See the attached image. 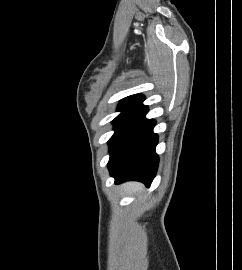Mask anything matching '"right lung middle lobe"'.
Here are the masks:
<instances>
[{
  "label": "right lung middle lobe",
  "instance_id": "dd1d6c3e",
  "mask_svg": "<svg viewBox=\"0 0 242 270\" xmlns=\"http://www.w3.org/2000/svg\"><path fill=\"white\" fill-rule=\"evenodd\" d=\"M136 109H137L136 107H133V106H124V105H120L118 107V111H121V113L113 120L115 133L110 138V140L108 142L110 146L113 143V141L116 138V136L118 135V133L120 132L121 128L128 121V119L134 113V111Z\"/></svg>",
  "mask_w": 242,
  "mask_h": 270
}]
</instances>
